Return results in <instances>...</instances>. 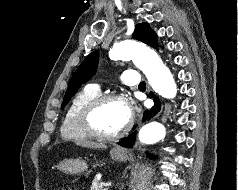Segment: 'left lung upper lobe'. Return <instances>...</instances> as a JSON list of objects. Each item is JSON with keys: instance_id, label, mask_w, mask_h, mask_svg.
Wrapping results in <instances>:
<instances>
[{"instance_id": "1", "label": "left lung upper lobe", "mask_w": 238, "mask_h": 190, "mask_svg": "<svg viewBox=\"0 0 238 190\" xmlns=\"http://www.w3.org/2000/svg\"><path fill=\"white\" fill-rule=\"evenodd\" d=\"M132 36L136 40H139L143 43H146L147 45L154 47L155 49H158L157 35L150 28L148 23L137 24ZM98 57H99L98 51L92 52L84 59V61L77 68V70L75 71L74 75L71 78L68 89L63 98L61 109H63L68 103V101L71 99V97L74 94H76L80 86L87 80H89L96 73Z\"/></svg>"}]
</instances>
